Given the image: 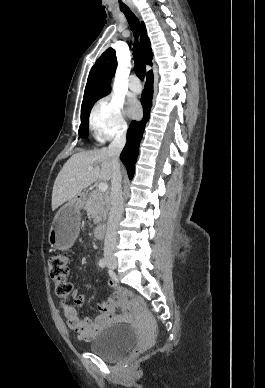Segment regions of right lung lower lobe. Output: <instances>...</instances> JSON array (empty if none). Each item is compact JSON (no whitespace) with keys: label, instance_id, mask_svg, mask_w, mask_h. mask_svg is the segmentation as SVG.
I'll return each mask as SVG.
<instances>
[{"label":"right lung lower lobe","instance_id":"98d812e1","mask_svg":"<svg viewBox=\"0 0 265 388\" xmlns=\"http://www.w3.org/2000/svg\"><path fill=\"white\" fill-rule=\"evenodd\" d=\"M153 80V72L149 71L147 73L145 87L140 99L143 106V119L139 122L132 121L130 124V127L127 131V143L120 155V159L126 166L130 179H132L134 176L135 163L139 154V144L143 136L145 125L150 116L153 97Z\"/></svg>","mask_w":265,"mask_h":388}]
</instances>
